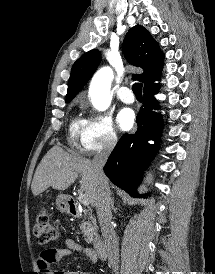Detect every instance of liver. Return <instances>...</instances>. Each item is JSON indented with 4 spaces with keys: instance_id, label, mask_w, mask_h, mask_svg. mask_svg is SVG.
<instances>
[{
    "instance_id": "1",
    "label": "liver",
    "mask_w": 215,
    "mask_h": 274,
    "mask_svg": "<svg viewBox=\"0 0 215 274\" xmlns=\"http://www.w3.org/2000/svg\"><path fill=\"white\" fill-rule=\"evenodd\" d=\"M80 191L88 197L92 206L96 205L97 181L89 159L70 154L59 146L52 147L39 163L31 185L34 196L44 192L49 186L64 191L78 177Z\"/></svg>"
}]
</instances>
